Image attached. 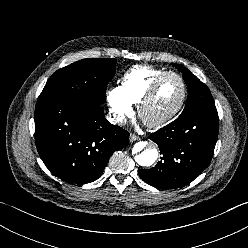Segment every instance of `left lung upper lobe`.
<instances>
[{"mask_svg": "<svg viewBox=\"0 0 248 248\" xmlns=\"http://www.w3.org/2000/svg\"><path fill=\"white\" fill-rule=\"evenodd\" d=\"M172 65L183 73V79L188 86L186 106L179 117H184L188 114L204 109L216 108L210 90L204 83H202L187 68L175 63H172Z\"/></svg>", "mask_w": 248, "mask_h": 248, "instance_id": "left-lung-upper-lobe-1", "label": "left lung upper lobe"}]
</instances>
